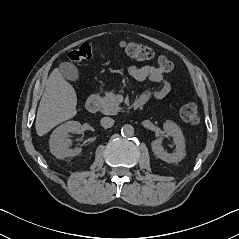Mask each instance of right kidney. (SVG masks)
Listing matches in <instances>:
<instances>
[{"label": "right kidney", "instance_id": "obj_1", "mask_svg": "<svg viewBox=\"0 0 239 239\" xmlns=\"http://www.w3.org/2000/svg\"><path fill=\"white\" fill-rule=\"evenodd\" d=\"M80 133L81 124L78 121H68L60 126H58L50 136L49 145L50 152L59 159H63L68 156L78 155L82 149H70L69 140L67 136L69 133Z\"/></svg>", "mask_w": 239, "mask_h": 239}]
</instances>
